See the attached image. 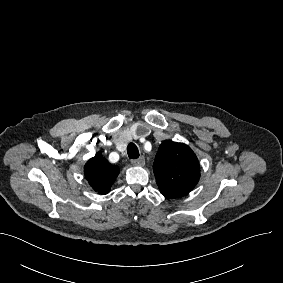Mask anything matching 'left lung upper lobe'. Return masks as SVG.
Here are the masks:
<instances>
[{"instance_id":"obj_1","label":"left lung upper lobe","mask_w":283,"mask_h":283,"mask_svg":"<svg viewBox=\"0 0 283 283\" xmlns=\"http://www.w3.org/2000/svg\"><path fill=\"white\" fill-rule=\"evenodd\" d=\"M153 171L161 194L169 199L188 194L200 178V165L191 148L170 140L159 146Z\"/></svg>"}]
</instances>
